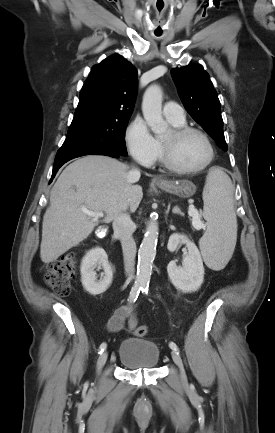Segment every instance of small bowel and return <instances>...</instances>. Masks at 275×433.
<instances>
[{
    "label": "small bowel",
    "mask_w": 275,
    "mask_h": 433,
    "mask_svg": "<svg viewBox=\"0 0 275 433\" xmlns=\"http://www.w3.org/2000/svg\"><path fill=\"white\" fill-rule=\"evenodd\" d=\"M128 323V331L132 332L138 324L135 305H124L117 308L107 323L110 332L120 331L125 323Z\"/></svg>",
    "instance_id": "small-bowel-1"
}]
</instances>
